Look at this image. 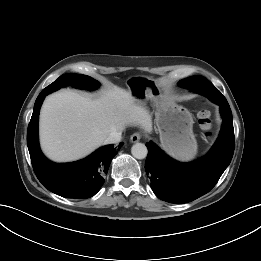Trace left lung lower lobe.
Returning a JSON list of instances; mask_svg holds the SVG:
<instances>
[{
	"label": "left lung lower lobe",
	"instance_id": "0a47b994",
	"mask_svg": "<svg viewBox=\"0 0 261 261\" xmlns=\"http://www.w3.org/2000/svg\"><path fill=\"white\" fill-rule=\"evenodd\" d=\"M191 89L220 106L223 123L209 153L195 162H177L152 142L146 144L145 170L150 186L157 197L170 203L191 202L209 192L230 164L234 153L232 113L225 97L207 79L198 81Z\"/></svg>",
	"mask_w": 261,
	"mask_h": 261
}]
</instances>
